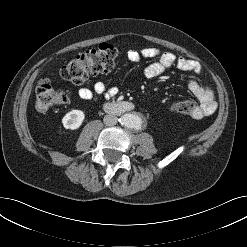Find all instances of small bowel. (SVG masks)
I'll use <instances>...</instances> for the list:
<instances>
[{
    "label": "small bowel",
    "instance_id": "c3829d8e",
    "mask_svg": "<svg viewBox=\"0 0 247 247\" xmlns=\"http://www.w3.org/2000/svg\"><path fill=\"white\" fill-rule=\"evenodd\" d=\"M127 57L132 62H139L144 58H157V60L144 69V76L146 78H154L161 74L166 69L175 67L178 70L190 71L195 74L201 73V65L191 59L177 57L171 52H161L156 48H145L140 51L129 50ZM188 86L192 93L200 101V106L192 114L195 119H201L212 114L216 108L217 103L215 94L208 86L201 85L195 78L188 81ZM118 93L115 86H108L104 82H97L93 89L81 88L78 91V96L85 101H93L97 97H114Z\"/></svg>",
    "mask_w": 247,
    "mask_h": 247
}]
</instances>
